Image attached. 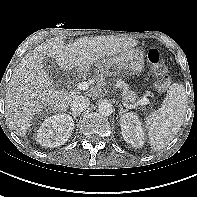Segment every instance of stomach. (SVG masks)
Segmentation results:
<instances>
[{"mask_svg": "<svg viewBox=\"0 0 197 197\" xmlns=\"http://www.w3.org/2000/svg\"><path fill=\"white\" fill-rule=\"evenodd\" d=\"M95 66L100 72L107 75H116L122 72L140 74L144 71V54L140 49H131L119 55L102 59Z\"/></svg>", "mask_w": 197, "mask_h": 197, "instance_id": "obj_1", "label": "stomach"}]
</instances>
